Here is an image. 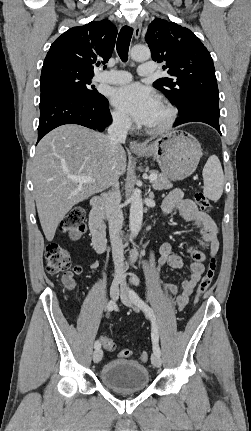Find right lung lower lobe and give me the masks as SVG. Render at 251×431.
I'll return each instance as SVG.
<instances>
[{"mask_svg": "<svg viewBox=\"0 0 251 431\" xmlns=\"http://www.w3.org/2000/svg\"><path fill=\"white\" fill-rule=\"evenodd\" d=\"M112 122L108 100L85 98L65 90L41 93L38 141L52 129L64 124H79L103 131Z\"/></svg>", "mask_w": 251, "mask_h": 431, "instance_id": "98d812e1", "label": "right lung lower lobe"}]
</instances>
